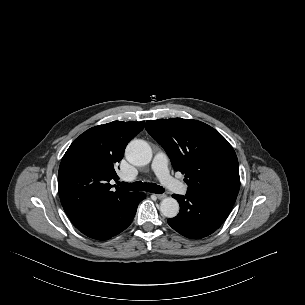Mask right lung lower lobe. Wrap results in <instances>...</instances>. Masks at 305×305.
Wrapping results in <instances>:
<instances>
[{"mask_svg":"<svg viewBox=\"0 0 305 305\" xmlns=\"http://www.w3.org/2000/svg\"><path fill=\"white\" fill-rule=\"evenodd\" d=\"M145 197V193L133 192L105 209L94 210L71 222L84 235L96 240H107L131 224L138 204Z\"/></svg>","mask_w":305,"mask_h":305,"instance_id":"1","label":"right lung lower lobe"}]
</instances>
